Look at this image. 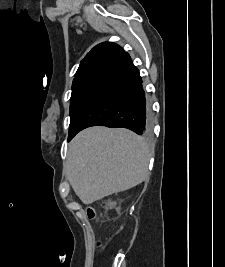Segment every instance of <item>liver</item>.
<instances>
[{
	"instance_id": "1",
	"label": "liver",
	"mask_w": 225,
	"mask_h": 267,
	"mask_svg": "<svg viewBox=\"0 0 225 267\" xmlns=\"http://www.w3.org/2000/svg\"><path fill=\"white\" fill-rule=\"evenodd\" d=\"M150 157L149 146L134 132L90 127L70 142L66 174L81 201L89 205L142 183Z\"/></svg>"
}]
</instances>
